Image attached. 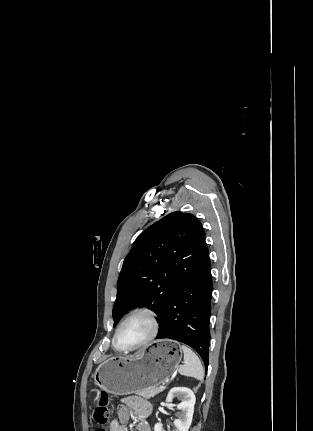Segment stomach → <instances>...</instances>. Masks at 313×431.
<instances>
[{"label": "stomach", "instance_id": "1", "mask_svg": "<svg viewBox=\"0 0 313 431\" xmlns=\"http://www.w3.org/2000/svg\"><path fill=\"white\" fill-rule=\"evenodd\" d=\"M182 358L181 349L171 340H157L132 356L111 357L94 374L95 384L115 395L138 393L158 387L170 378Z\"/></svg>", "mask_w": 313, "mask_h": 431}]
</instances>
